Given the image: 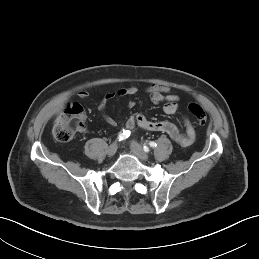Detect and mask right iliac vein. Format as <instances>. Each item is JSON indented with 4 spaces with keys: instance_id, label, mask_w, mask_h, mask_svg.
<instances>
[{
    "instance_id": "right-iliac-vein-1",
    "label": "right iliac vein",
    "mask_w": 259,
    "mask_h": 259,
    "mask_svg": "<svg viewBox=\"0 0 259 259\" xmlns=\"http://www.w3.org/2000/svg\"><path fill=\"white\" fill-rule=\"evenodd\" d=\"M117 148H118L117 143H116V142L112 143V144L108 147V149H107V155H108L109 157L114 156L115 153H116V151H117Z\"/></svg>"
}]
</instances>
